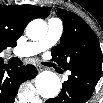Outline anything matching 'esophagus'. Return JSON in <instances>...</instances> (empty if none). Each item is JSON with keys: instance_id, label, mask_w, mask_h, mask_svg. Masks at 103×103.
<instances>
[{"instance_id": "obj_1", "label": "esophagus", "mask_w": 103, "mask_h": 103, "mask_svg": "<svg viewBox=\"0 0 103 103\" xmlns=\"http://www.w3.org/2000/svg\"><path fill=\"white\" fill-rule=\"evenodd\" d=\"M36 68L39 72L43 70V67L41 65H36Z\"/></svg>"}]
</instances>
